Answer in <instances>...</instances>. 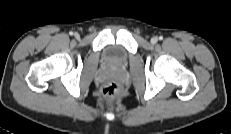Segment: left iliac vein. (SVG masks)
Masks as SVG:
<instances>
[{
  "label": "left iliac vein",
  "mask_w": 231,
  "mask_h": 134,
  "mask_svg": "<svg viewBox=\"0 0 231 134\" xmlns=\"http://www.w3.org/2000/svg\"><path fill=\"white\" fill-rule=\"evenodd\" d=\"M157 41H158V38H157V37H152V38H151V43H152V44H156Z\"/></svg>",
  "instance_id": "1"
}]
</instances>
